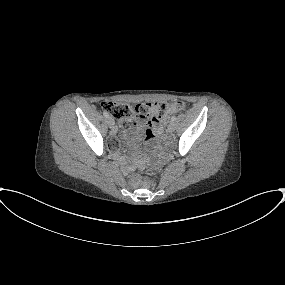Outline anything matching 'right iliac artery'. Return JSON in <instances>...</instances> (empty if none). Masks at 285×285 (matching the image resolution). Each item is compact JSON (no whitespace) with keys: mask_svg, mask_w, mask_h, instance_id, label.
<instances>
[{"mask_svg":"<svg viewBox=\"0 0 285 285\" xmlns=\"http://www.w3.org/2000/svg\"><path fill=\"white\" fill-rule=\"evenodd\" d=\"M103 115H104L106 118L109 117V114H108L105 110L103 111Z\"/></svg>","mask_w":285,"mask_h":285,"instance_id":"1","label":"right iliac artery"}]
</instances>
